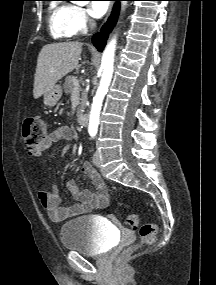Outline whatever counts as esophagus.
<instances>
[{"label": "esophagus", "instance_id": "1", "mask_svg": "<svg viewBox=\"0 0 216 285\" xmlns=\"http://www.w3.org/2000/svg\"><path fill=\"white\" fill-rule=\"evenodd\" d=\"M111 10H112V6L110 7V10H109V13H108V15L110 14Z\"/></svg>", "mask_w": 216, "mask_h": 285}]
</instances>
